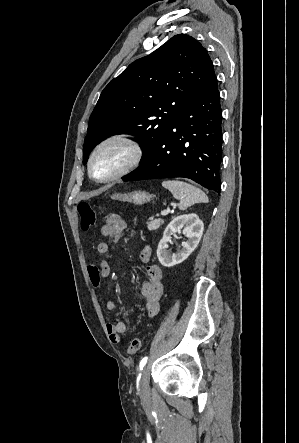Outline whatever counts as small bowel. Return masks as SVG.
Instances as JSON below:
<instances>
[{
  "label": "small bowel",
  "mask_w": 299,
  "mask_h": 443,
  "mask_svg": "<svg viewBox=\"0 0 299 443\" xmlns=\"http://www.w3.org/2000/svg\"><path fill=\"white\" fill-rule=\"evenodd\" d=\"M126 228L124 219L118 214H109L106 216L105 223L100 228L103 237L109 238L113 242H117ZM100 255H106L109 252V245L106 242H100L97 246ZM151 258V248L145 247L140 259L144 263H148ZM88 274L92 285L99 288L102 279L111 274V266L105 260H100L96 264H92L88 268ZM147 281L140 288L141 296L144 299L145 312L148 317L155 316L160 308V299L163 294V273L157 265H148L146 267ZM106 310L109 312L116 311V303L112 300L105 302ZM126 323L120 319L107 324V332L111 341L119 344L122 341V335L126 332Z\"/></svg>",
  "instance_id": "1"
}]
</instances>
